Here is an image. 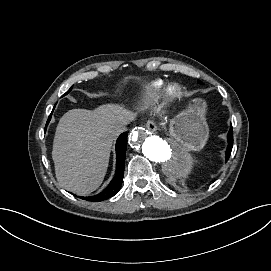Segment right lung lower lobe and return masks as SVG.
Here are the masks:
<instances>
[{
    "instance_id": "obj_1",
    "label": "right lung lower lobe",
    "mask_w": 271,
    "mask_h": 271,
    "mask_svg": "<svg viewBox=\"0 0 271 271\" xmlns=\"http://www.w3.org/2000/svg\"><path fill=\"white\" fill-rule=\"evenodd\" d=\"M53 112V111H52ZM52 113L49 116L47 125L51 119ZM126 146H127V133H122L116 142V174L110 184L99 194L89 197H80L87 201H103L107 200L110 197H113L121 188L122 179L124 176V164H125V155H126Z\"/></svg>"
}]
</instances>
